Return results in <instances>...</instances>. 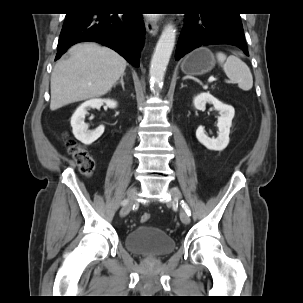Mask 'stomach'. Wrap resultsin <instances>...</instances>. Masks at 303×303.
<instances>
[{
    "label": "stomach",
    "mask_w": 303,
    "mask_h": 303,
    "mask_svg": "<svg viewBox=\"0 0 303 303\" xmlns=\"http://www.w3.org/2000/svg\"><path fill=\"white\" fill-rule=\"evenodd\" d=\"M215 60L207 48H199L187 55L182 63L181 70L188 76L203 75L213 69Z\"/></svg>",
    "instance_id": "obj_1"
}]
</instances>
